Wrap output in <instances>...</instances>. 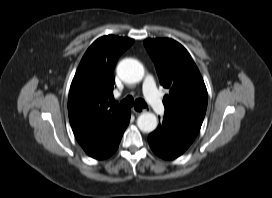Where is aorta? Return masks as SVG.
Wrapping results in <instances>:
<instances>
[{
  "label": "aorta",
  "mask_w": 272,
  "mask_h": 198,
  "mask_svg": "<svg viewBox=\"0 0 272 198\" xmlns=\"http://www.w3.org/2000/svg\"><path fill=\"white\" fill-rule=\"evenodd\" d=\"M117 74L124 82L137 83L144 77V68L139 61L127 58L118 64ZM137 125L142 132L150 133L157 127V118L153 113H143L138 117Z\"/></svg>",
  "instance_id": "1"
}]
</instances>
